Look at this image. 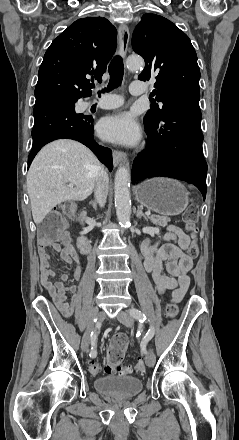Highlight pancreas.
<instances>
[{
    "mask_svg": "<svg viewBox=\"0 0 239 440\" xmlns=\"http://www.w3.org/2000/svg\"><path fill=\"white\" fill-rule=\"evenodd\" d=\"M155 226H167V222H171V218L167 216H147Z\"/></svg>",
    "mask_w": 239,
    "mask_h": 440,
    "instance_id": "pancreas-1",
    "label": "pancreas"
}]
</instances>
